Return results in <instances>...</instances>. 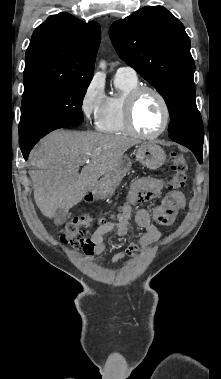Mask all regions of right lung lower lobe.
<instances>
[{
  "label": "right lung lower lobe",
  "instance_id": "1",
  "mask_svg": "<svg viewBox=\"0 0 221 379\" xmlns=\"http://www.w3.org/2000/svg\"><path fill=\"white\" fill-rule=\"evenodd\" d=\"M42 138V137H41ZM40 137L30 141V140H19L20 148L25 160H27L30 150L39 141Z\"/></svg>",
  "mask_w": 221,
  "mask_h": 379
}]
</instances>
